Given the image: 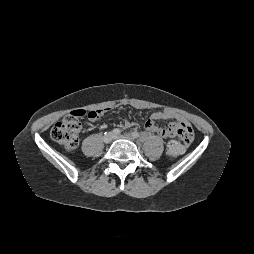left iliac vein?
Instances as JSON below:
<instances>
[{"mask_svg":"<svg viewBox=\"0 0 254 254\" xmlns=\"http://www.w3.org/2000/svg\"><path fill=\"white\" fill-rule=\"evenodd\" d=\"M120 138H124V139H127L129 141H134V137L130 133H126L124 135L115 136V139H120Z\"/></svg>","mask_w":254,"mask_h":254,"instance_id":"left-iliac-vein-1","label":"left iliac vein"}]
</instances>
